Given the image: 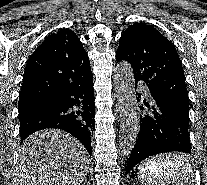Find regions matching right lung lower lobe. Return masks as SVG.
<instances>
[{"label": "right lung lower lobe", "instance_id": "right-lung-lower-lobe-1", "mask_svg": "<svg viewBox=\"0 0 207 185\" xmlns=\"http://www.w3.org/2000/svg\"><path fill=\"white\" fill-rule=\"evenodd\" d=\"M94 115L95 103L91 75L83 81L71 83L54 98L20 110L21 143L38 130L57 128L72 134L91 153V137L95 128Z\"/></svg>", "mask_w": 207, "mask_h": 185}]
</instances>
